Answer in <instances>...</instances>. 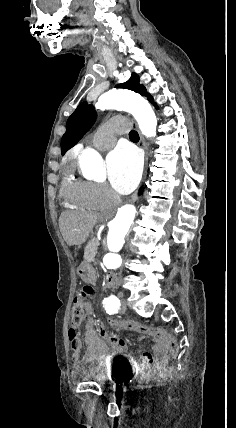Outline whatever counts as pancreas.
Masks as SVG:
<instances>
[{"label":"pancreas","instance_id":"pancreas-1","mask_svg":"<svg viewBox=\"0 0 236 428\" xmlns=\"http://www.w3.org/2000/svg\"><path fill=\"white\" fill-rule=\"evenodd\" d=\"M99 242L97 238H92L90 242H88L85 250H84V260L86 262H94L95 256L97 254Z\"/></svg>","mask_w":236,"mask_h":428}]
</instances>
